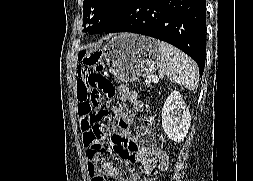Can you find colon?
<instances>
[{"mask_svg":"<svg viewBox=\"0 0 253 181\" xmlns=\"http://www.w3.org/2000/svg\"><path fill=\"white\" fill-rule=\"evenodd\" d=\"M101 55H105L103 47H84L80 54L83 67L88 70L86 83L88 86L84 103L85 114L80 117L83 130V141L88 148L92 160L100 161L101 141L104 136V127L101 123L105 110H95L104 100H111L118 94L116 85L106 75L100 72ZM152 117H147V122H152Z\"/></svg>","mask_w":253,"mask_h":181,"instance_id":"1","label":"colon"}]
</instances>
